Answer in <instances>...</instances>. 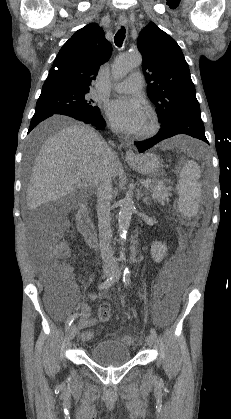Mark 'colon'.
I'll return each instance as SVG.
<instances>
[{"label":"colon","instance_id":"1","mask_svg":"<svg viewBox=\"0 0 231 419\" xmlns=\"http://www.w3.org/2000/svg\"><path fill=\"white\" fill-rule=\"evenodd\" d=\"M69 249L64 243H58L50 247L47 251V261L44 269V278L49 286L64 285L71 280V270L63 260L68 256ZM99 318L103 322H107L111 318L110 309L108 306H102L99 310ZM124 343L132 345L134 340L132 338H124Z\"/></svg>","mask_w":231,"mask_h":419}]
</instances>
